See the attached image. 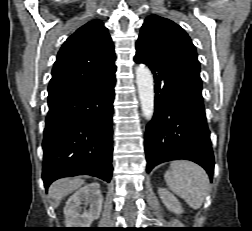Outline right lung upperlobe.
<instances>
[{"label": "right lung upper lobe", "mask_w": 252, "mask_h": 231, "mask_svg": "<svg viewBox=\"0 0 252 231\" xmlns=\"http://www.w3.org/2000/svg\"><path fill=\"white\" fill-rule=\"evenodd\" d=\"M115 53L103 22L93 20L73 33L58 52L48 87V104L83 86L114 76Z\"/></svg>", "instance_id": "right-lung-upper-lobe-1"}]
</instances>
